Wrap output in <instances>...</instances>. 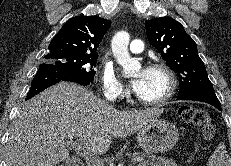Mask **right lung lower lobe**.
<instances>
[{"label":"right lung lower lobe","instance_id":"1","mask_svg":"<svg viewBox=\"0 0 231 166\" xmlns=\"http://www.w3.org/2000/svg\"><path fill=\"white\" fill-rule=\"evenodd\" d=\"M60 81L76 82L83 86L91 83V81L86 80L78 74L69 72L52 64L43 63L39 66V69L31 83V88L27 94L26 100L32 98L46 88L59 83Z\"/></svg>","mask_w":231,"mask_h":166}]
</instances>
